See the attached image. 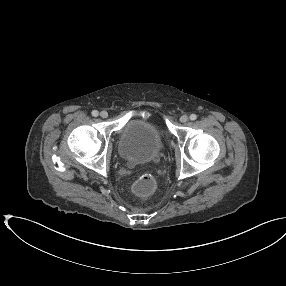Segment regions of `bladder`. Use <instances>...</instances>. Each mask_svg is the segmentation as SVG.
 I'll return each instance as SVG.
<instances>
[{"label": "bladder", "mask_w": 286, "mask_h": 286, "mask_svg": "<svg viewBox=\"0 0 286 286\" xmlns=\"http://www.w3.org/2000/svg\"><path fill=\"white\" fill-rule=\"evenodd\" d=\"M119 154L132 164L158 160L163 153V139L157 124L150 119H130L123 127Z\"/></svg>", "instance_id": "obj_1"}]
</instances>
